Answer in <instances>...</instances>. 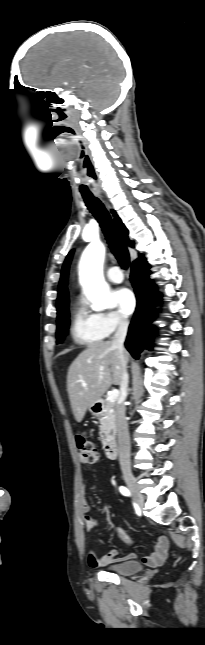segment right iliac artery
Instances as JSON below:
<instances>
[{
    "label": "right iliac artery",
    "instance_id": "obj_1",
    "mask_svg": "<svg viewBox=\"0 0 205 645\" xmlns=\"http://www.w3.org/2000/svg\"><path fill=\"white\" fill-rule=\"evenodd\" d=\"M119 490H120L121 494H123L124 496H130L131 495L130 491L124 486H121L119 488Z\"/></svg>",
    "mask_w": 205,
    "mask_h": 645
}]
</instances>
